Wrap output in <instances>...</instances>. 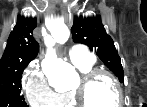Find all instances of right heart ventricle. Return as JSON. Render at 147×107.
<instances>
[{"instance_id":"1","label":"right heart ventricle","mask_w":147,"mask_h":107,"mask_svg":"<svg viewBox=\"0 0 147 107\" xmlns=\"http://www.w3.org/2000/svg\"><path fill=\"white\" fill-rule=\"evenodd\" d=\"M93 64H86V65H75L82 73L88 72L93 69ZM59 105H62L63 107H77L74 97L71 93V91L59 94Z\"/></svg>"}]
</instances>
